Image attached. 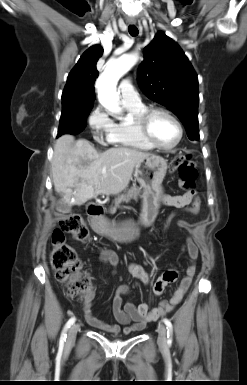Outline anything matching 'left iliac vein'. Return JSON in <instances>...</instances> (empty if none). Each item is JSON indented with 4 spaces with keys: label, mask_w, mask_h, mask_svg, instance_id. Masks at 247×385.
<instances>
[{
    "label": "left iliac vein",
    "mask_w": 247,
    "mask_h": 385,
    "mask_svg": "<svg viewBox=\"0 0 247 385\" xmlns=\"http://www.w3.org/2000/svg\"><path fill=\"white\" fill-rule=\"evenodd\" d=\"M157 331H158V345L161 348H164L167 345V329L165 325L159 323Z\"/></svg>",
    "instance_id": "1"
}]
</instances>
